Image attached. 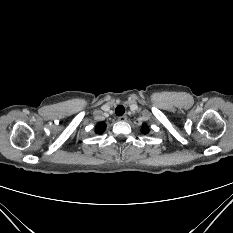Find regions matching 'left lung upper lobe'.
<instances>
[{"mask_svg":"<svg viewBox=\"0 0 233 233\" xmlns=\"http://www.w3.org/2000/svg\"><path fill=\"white\" fill-rule=\"evenodd\" d=\"M143 134H147L149 132V127L147 125H143L141 128Z\"/></svg>","mask_w":233,"mask_h":233,"instance_id":"1","label":"left lung upper lobe"}]
</instances>
